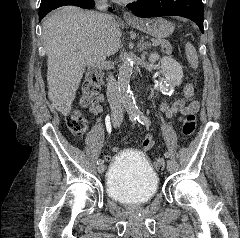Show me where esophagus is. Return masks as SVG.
Instances as JSON below:
<instances>
[{
    "instance_id": "obj_1",
    "label": "esophagus",
    "mask_w": 240,
    "mask_h": 238,
    "mask_svg": "<svg viewBox=\"0 0 240 238\" xmlns=\"http://www.w3.org/2000/svg\"><path fill=\"white\" fill-rule=\"evenodd\" d=\"M123 18L125 20H135L136 19V17L129 11H124L123 12Z\"/></svg>"
}]
</instances>
